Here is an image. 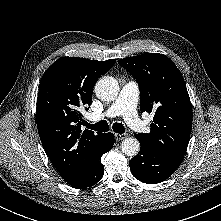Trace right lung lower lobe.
Segmentation results:
<instances>
[{
  "label": "right lung lower lobe",
  "mask_w": 221,
  "mask_h": 221,
  "mask_svg": "<svg viewBox=\"0 0 221 221\" xmlns=\"http://www.w3.org/2000/svg\"><path fill=\"white\" fill-rule=\"evenodd\" d=\"M114 144V135L113 133H103L98 151L95 156V160L89 165L86 172L77 180L72 182L70 185L77 189L90 187L102 178L103 176V165L101 164V156L112 149Z\"/></svg>",
  "instance_id": "obj_1"
}]
</instances>
